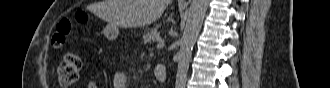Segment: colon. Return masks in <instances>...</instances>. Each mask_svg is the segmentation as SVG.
<instances>
[{
  "label": "colon",
  "mask_w": 330,
  "mask_h": 88,
  "mask_svg": "<svg viewBox=\"0 0 330 88\" xmlns=\"http://www.w3.org/2000/svg\"><path fill=\"white\" fill-rule=\"evenodd\" d=\"M70 31L71 22L68 19L60 20L56 26V32L52 37L53 46H62ZM81 67L82 61L76 54L71 52L66 53L58 68L60 84L64 87L74 85L78 81Z\"/></svg>",
  "instance_id": "colon-1"
}]
</instances>
